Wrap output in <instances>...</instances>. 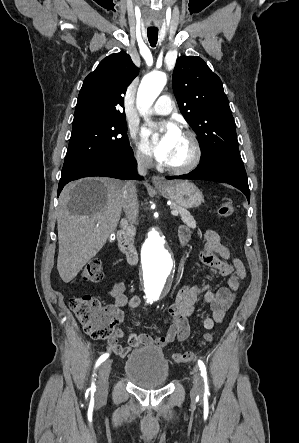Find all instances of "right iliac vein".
<instances>
[{"instance_id":"right-iliac-vein-1","label":"right iliac vein","mask_w":299,"mask_h":443,"mask_svg":"<svg viewBox=\"0 0 299 443\" xmlns=\"http://www.w3.org/2000/svg\"><path fill=\"white\" fill-rule=\"evenodd\" d=\"M111 370V360L105 361L99 368L97 379V399L103 400L107 396L108 377Z\"/></svg>"}]
</instances>
